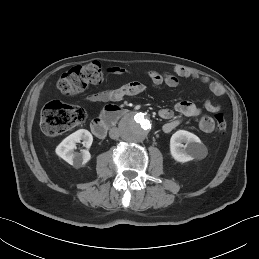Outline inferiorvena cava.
Wrapping results in <instances>:
<instances>
[{
	"mask_svg": "<svg viewBox=\"0 0 259 259\" xmlns=\"http://www.w3.org/2000/svg\"><path fill=\"white\" fill-rule=\"evenodd\" d=\"M120 134H121V132L118 128L110 129V132H109L110 138L117 139V138H119Z\"/></svg>",
	"mask_w": 259,
	"mask_h": 259,
	"instance_id": "obj_1",
	"label": "inferior vena cava"
}]
</instances>
